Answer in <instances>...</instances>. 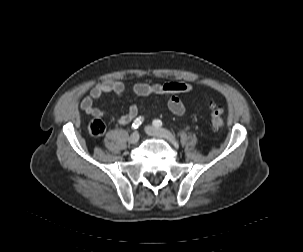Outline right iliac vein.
I'll return each instance as SVG.
<instances>
[{"instance_id":"63e3f726","label":"right iliac vein","mask_w":303,"mask_h":252,"mask_svg":"<svg viewBox=\"0 0 303 252\" xmlns=\"http://www.w3.org/2000/svg\"><path fill=\"white\" fill-rule=\"evenodd\" d=\"M138 140H139V133L137 131L133 132L128 139L130 144H136Z\"/></svg>"}]
</instances>
